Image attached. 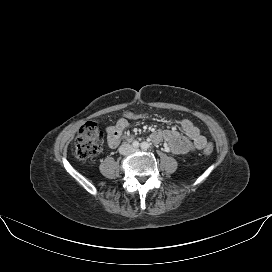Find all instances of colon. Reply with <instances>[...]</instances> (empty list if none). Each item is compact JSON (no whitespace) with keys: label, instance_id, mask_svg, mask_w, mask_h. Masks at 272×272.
<instances>
[{"label":"colon","instance_id":"1","mask_svg":"<svg viewBox=\"0 0 272 272\" xmlns=\"http://www.w3.org/2000/svg\"><path fill=\"white\" fill-rule=\"evenodd\" d=\"M125 115L132 119L141 118L133 112H126ZM103 136L99 130L98 123L95 121L87 122L79 131L75 140V155L76 157L85 162L91 157L99 154L102 150ZM213 145L207 144L204 153L211 154L213 152Z\"/></svg>","mask_w":272,"mask_h":272}]
</instances>
